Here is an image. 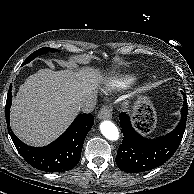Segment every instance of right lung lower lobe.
Here are the masks:
<instances>
[{"label": "right lung lower lobe", "mask_w": 194, "mask_h": 194, "mask_svg": "<svg viewBox=\"0 0 194 194\" xmlns=\"http://www.w3.org/2000/svg\"><path fill=\"white\" fill-rule=\"evenodd\" d=\"M11 86L6 101L8 132L18 152L34 168L46 172H63L73 169L80 160L84 139L94 124L92 114H80L69 128L54 142L45 147H31L20 141L10 128Z\"/></svg>", "instance_id": "obj_1"}]
</instances>
